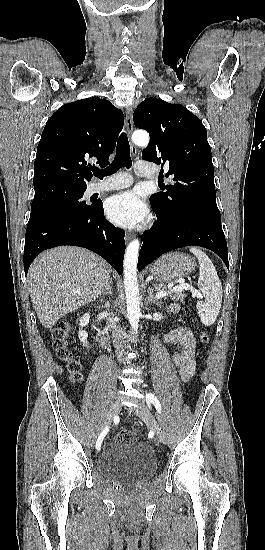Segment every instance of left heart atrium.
Here are the masks:
<instances>
[{"instance_id": "39dd6f15", "label": "left heart atrium", "mask_w": 265, "mask_h": 550, "mask_svg": "<svg viewBox=\"0 0 265 550\" xmlns=\"http://www.w3.org/2000/svg\"><path fill=\"white\" fill-rule=\"evenodd\" d=\"M105 211L110 221L122 227L139 226L147 217V207L134 191H125L109 198Z\"/></svg>"}]
</instances>
